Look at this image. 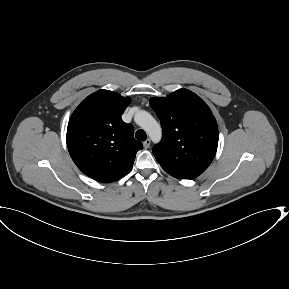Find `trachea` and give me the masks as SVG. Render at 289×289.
Listing matches in <instances>:
<instances>
[{"mask_svg": "<svg viewBox=\"0 0 289 289\" xmlns=\"http://www.w3.org/2000/svg\"><path fill=\"white\" fill-rule=\"evenodd\" d=\"M135 137L139 141H145L146 140V133H145L144 130L139 129V130L136 131Z\"/></svg>", "mask_w": 289, "mask_h": 289, "instance_id": "3493384b", "label": "trachea"}]
</instances>
